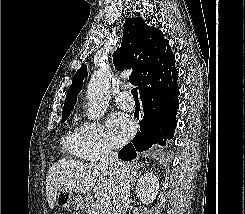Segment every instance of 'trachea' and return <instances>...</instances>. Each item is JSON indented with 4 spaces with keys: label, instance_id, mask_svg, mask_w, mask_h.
I'll return each mask as SVG.
<instances>
[{
    "label": "trachea",
    "instance_id": "3493384b",
    "mask_svg": "<svg viewBox=\"0 0 245 214\" xmlns=\"http://www.w3.org/2000/svg\"><path fill=\"white\" fill-rule=\"evenodd\" d=\"M131 93L133 95V98H134L135 102L138 103L139 101H138V91H137V89L136 88H132Z\"/></svg>",
    "mask_w": 245,
    "mask_h": 214
}]
</instances>
